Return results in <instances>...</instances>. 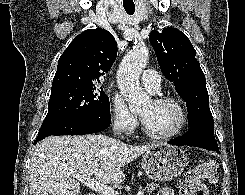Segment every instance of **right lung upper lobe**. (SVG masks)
Segmentation results:
<instances>
[{
    "label": "right lung upper lobe",
    "mask_w": 245,
    "mask_h": 195,
    "mask_svg": "<svg viewBox=\"0 0 245 195\" xmlns=\"http://www.w3.org/2000/svg\"><path fill=\"white\" fill-rule=\"evenodd\" d=\"M116 57L117 44L109 31L101 28L84 31L74 38L59 58L52 92L97 86Z\"/></svg>",
    "instance_id": "1"
}]
</instances>
